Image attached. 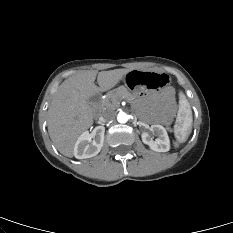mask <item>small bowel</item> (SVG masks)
Returning <instances> with one entry per match:
<instances>
[{"label": "small bowel", "mask_w": 233, "mask_h": 233, "mask_svg": "<svg viewBox=\"0 0 233 233\" xmlns=\"http://www.w3.org/2000/svg\"><path fill=\"white\" fill-rule=\"evenodd\" d=\"M154 107L161 119L169 120L175 112L173 91L168 89L164 91L162 95L155 98Z\"/></svg>", "instance_id": "1"}]
</instances>
